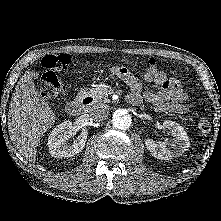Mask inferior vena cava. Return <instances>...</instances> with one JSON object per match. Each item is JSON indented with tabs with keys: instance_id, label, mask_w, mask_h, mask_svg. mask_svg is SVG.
I'll return each mask as SVG.
<instances>
[{
	"instance_id": "obj_1",
	"label": "inferior vena cava",
	"mask_w": 221,
	"mask_h": 221,
	"mask_svg": "<svg viewBox=\"0 0 221 221\" xmlns=\"http://www.w3.org/2000/svg\"><path fill=\"white\" fill-rule=\"evenodd\" d=\"M89 115L93 120L103 121L107 118L109 107L106 104H95L89 108Z\"/></svg>"
}]
</instances>
